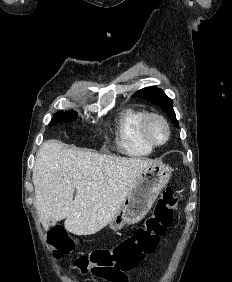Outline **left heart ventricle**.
<instances>
[{"mask_svg":"<svg viewBox=\"0 0 232 282\" xmlns=\"http://www.w3.org/2000/svg\"><path fill=\"white\" fill-rule=\"evenodd\" d=\"M150 136L157 142L165 138L166 131L164 126L158 121H152L149 126Z\"/></svg>","mask_w":232,"mask_h":282,"instance_id":"b2bd125f","label":"left heart ventricle"}]
</instances>
